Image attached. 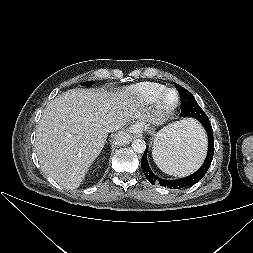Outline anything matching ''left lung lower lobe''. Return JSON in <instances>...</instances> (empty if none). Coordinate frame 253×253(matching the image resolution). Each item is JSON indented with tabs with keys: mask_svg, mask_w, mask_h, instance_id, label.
<instances>
[{
	"mask_svg": "<svg viewBox=\"0 0 253 253\" xmlns=\"http://www.w3.org/2000/svg\"><path fill=\"white\" fill-rule=\"evenodd\" d=\"M195 118L201 122V124L205 128V130L207 132V136H208V142H209L208 153H207V156H206V159H205L203 165L201 166V168L199 170H197L194 174H192L188 177L177 179V180H164V179L157 177L151 171L148 161H147L148 146H146V150H145V152L142 156V160H141V168H142V171H143L145 177L147 178V180L151 184L158 183L161 186H164L167 188L180 189V188H185V187L194 185L195 183H197L200 179H202L204 177V175L206 174L207 170L209 169L212 159H213L214 138H213V133H212V126L209 122L207 115L203 111H200L199 113H196Z\"/></svg>",
	"mask_w": 253,
	"mask_h": 253,
	"instance_id": "1",
	"label": "left lung lower lobe"
}]
</instances>
